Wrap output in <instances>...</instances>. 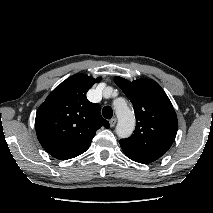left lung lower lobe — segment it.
<instances>
[{
	"mask_svg": "<svg viewBox=\"0 0 213 213\" xmlns=\"http://www.w3.org/2000/svg\"><path fill=\"white\" fill-rule=\"evenodd\" d=\"M121 148L124 151V153L133 161H136V162H139V163H142V164H144V163L148 164V163H151V162L157 160V159H154V158H151V157H145V156L136 154L135 152H133V151L127 149V148H124L122 146H121Z\"/></svg>",
	"mask_w": 213,
	"mask_h": 213,
	"instance_id": "0a47b994",
	"label": "left lung lower lobe"
}]
</instances>
